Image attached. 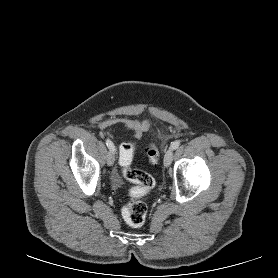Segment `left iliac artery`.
<instances>
[{
    "mask_svg": "<svg viewBox=\"0 0 278 278\" xmlns=\"http://www.w3.org/2000/svg\"><path fill=\"white\" fill-rule=\"evenodd\" d=\"M180 146V141L176 140L174 142L171 143V149L175 150Z\"/></svg>",
    "mask_w": 278,
    "mask_h": 278,
    "instance_id": "1",
    "label": "left iliac artery"
}]
</instances>
